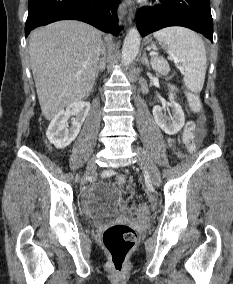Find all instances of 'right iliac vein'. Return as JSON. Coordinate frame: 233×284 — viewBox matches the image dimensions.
I'll return each mask as SVG.
<instances>
[{
  "mask_svg": "<svg viewBox=\"0 0 233 284\" xmlns=\"http://www.w3.org/2000/svg\"><path fill=\"white\" fill-rule=\"evenodd\" d=\"M88 172H83L81 175L82 183L80 184L81 188H85L86 185H89L90 177H95L96 163L95 158L90 159L87 165Z\"/></svg>",
  "mask_w": 233,
  "mask_h": 284,
  "instance_id": "63e3f726",
  "label": "right iliac vein"
}]
</instances>
